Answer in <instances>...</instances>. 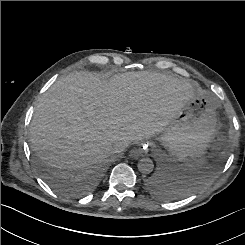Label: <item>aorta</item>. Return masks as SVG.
<instances>
[{
  "instance_id": "762f6f07",
  "label": "aorta",
  "mask_w": 245,
  "mask_h": 245,
  "mask_svg": "<svg viewBox=\"0 0 245 245\" xmlns=\"http://www.w3.org/2000/svg\"><path fill=\"white\" fill-rule=\"evenodd\" d=\"M138 170L143 174H149L153 171L154 164L150 158H142L138 162Z\"/></svg>"
}]
</instances>
